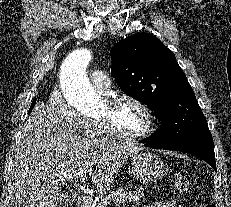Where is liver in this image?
<instances>
[{
	"label": "liver",
	"mask_w": 231,
	"mask_h": 207,
	"mask_svg": "<svg viewBox=\"0 0 231 207\" xmlns=\"http://www.w3.org/2000/svg\"><path fill=\"white\" fill-rule=\"evenodd\" d=\"M141 150L136 144L80 136L54 107L39 102L24 124L16 150L15 207H56L63 198L65 179L90 176L98 189L108 190L128 156Z\"/></svg>",
	"instance_id": "obj_1"
}]
</instances>
